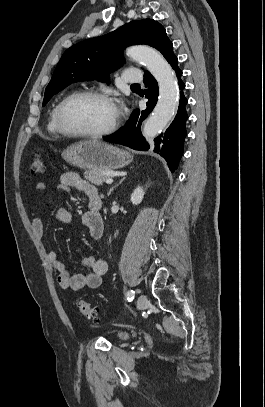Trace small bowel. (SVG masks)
Listing matches in <instances>:
<instances>
[{"label":"small bowel","mask_w":265,"mask_h":407,"mask_svg":"<svg viewBox=\"0 0 265 407\" xmlns=\"http://www.w3.org/2000/svg\"><path fill=\"white\" fill-rule=\"evenodd\" d=\"M58 189L69 191L76 189L84 192L89 199L88 210L84 213L82 220L88 228L92 238L100 239L103 235L104 225L101 215L98 211L93 210L91 201L99 198L96 188L83 180L77 173L66 172L63 173L57 185ZM45 188L43 182L36 184V190L41 191ZM59 222L68 224L73 220L72 211L68 207H59L56 213ZM32 230L34 234L42 239L44 236V227L42 220L32 213ZM48 257L55 270L57 271V282L62 289L79 291L85 287L97 288L102 283V277L106 274L108 264L106 260L94 256L86 257L82 260L81 264L88 271L86 273L72 274L68 266L61 260L57 251L51 250Z\"/></svg>","instance_id":"c3829d8e"}]
</instances>
